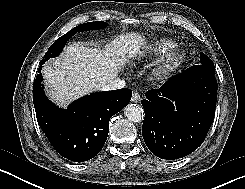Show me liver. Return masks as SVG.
Masks as SVG:
<instances>
[{
	"label": "liver",
	"instance_id": "obj_1",
	"mask_svg": "<svg viewBox=\"0 0 245 189\" xmlns=\"http://www.w3.org/2000/svg\"><path fill=\"white\" fill-rule=\"evenodd\" d=\"M145 39L137 32H126L109 41L103 49L80 42L67 46L63 54L43 69L48 96L66 106L92 91L102 90L115 79L129 58L141 54Z\"/></svg>",
	"mask_w": 245,
	"mask_h": 189
}]
</instances>
